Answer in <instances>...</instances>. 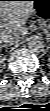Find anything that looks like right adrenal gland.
Instances as JSON below:
<instances>
[{
	"instance_id": "obj_1",
	"label": "right adrenal gland",
	"mask_w": 50,
	"mask_h": 111,
	"mask_svg": "<svg viewBox=\"0 0 50 111\" xmlns=\"http://www.w3.org/2000/svg\"><path fill=\"white\" fill-rule=\"evenodd\" d=\"M3 47H4L6 50H8L9 44L1 45V49H2Z\"/></svg>"
}]
</instances>
